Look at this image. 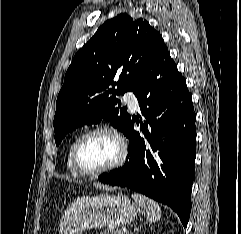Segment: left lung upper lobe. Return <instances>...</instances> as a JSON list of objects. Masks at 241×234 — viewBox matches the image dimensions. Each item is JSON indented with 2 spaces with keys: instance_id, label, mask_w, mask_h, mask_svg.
Segmentation results:
<instances>
[{
  "instance_id": "left-lung-upper-lobe-1",
  "label": "left lung upper lobe",
  "mask_w": 241,
  "mask_h": 234,
  "mask_svg": "<svg viewBox=\"0 0 241 234\" xmlns=\"http://www.w3.org/2000/svg\"><path fill=\"white\" fill-rule=\"evenodd\" d=\"M164 48L162 36L146 20L123 13L101 25L65 74L54 116L56 145L79 126L102 119L126 134L130 115L116 95L133 91Z\"/></svg>"
}]
</instances>
